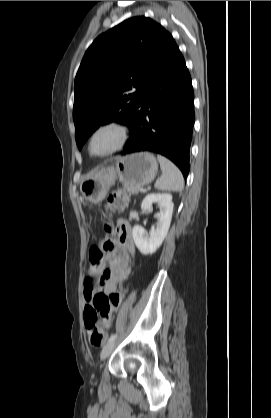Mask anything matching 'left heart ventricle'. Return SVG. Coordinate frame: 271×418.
<instances>
[{
	"label": "left heart ventricle",
	"instance_id": "b2bd125f",
	"mask_svg": "<svg viewBox=\"0 0 271 418\" xmlns=\"http://www.w3.org/2000/svg\"><path fill=\"white\" fill-rule=\"evenodd\" d=\"M117 140V134L113 131L100 133L93 142L94 152H103L110 148Z\"/></svg>",
	"mask_w": 271,
	"mask_h": 418
}]
</instances>
